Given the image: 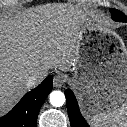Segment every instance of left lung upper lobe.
I'll return each mask as SVG.
<instances>
[{
  "label": "left lung upper lobe",
  "instance_id": "left-lung-upper-lobe-1",
  "mask_svg": "<svg viewBox=\"0 0 127 127\" xmlns=\"http://www.w3.org/2000/svg\"><path fill=\"white\" fill-rule=\"evenodd\" d=\"M110 12L112 14V18L115 21L127 22V16H125L121 11L116 9H110Z\"/></svg>",
  "mask_w": 127,
  "mask_h": 127
}]
</instances>
